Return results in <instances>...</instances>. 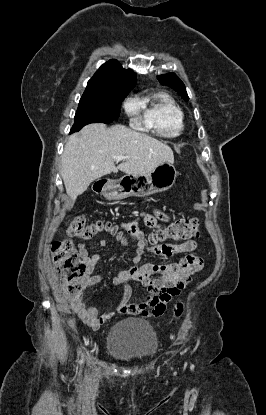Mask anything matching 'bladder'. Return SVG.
Segmentation results:
<instances>
[{
	"label": "bladder",
	"instance_id": "1",
	"mask_svg": "<svg viewBox=\"0 0 266 415\" xmlns=\"http://www.w3.org/2000/svg\"><path fill=\"white\" fill-rule=\"evenodd\" d=\"M158 337L152 325L141 318L116 322L106 338V350L125 362H141L153 358L158 351Z\"/></svg>",
	"mask_w": 266,
	"mask_h": 415
}]
</instances>
